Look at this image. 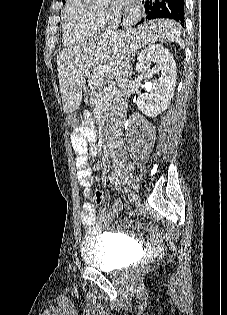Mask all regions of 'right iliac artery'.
<instances>
[{"label": "right iliac artery", "mask_w": 227, "mask_h": 315, "mask_svg": "<svg viewBox=\"0 0 227 315\" xmlns=\"http://www.w3.org/2000/svg\"><path fill=\"white\" fill-rule=\"evenodd\" d=\"M109 180L116 186L120 184V179L114 173L109 174Z\"/></svg>", "instance_id": "obj_1"}]
</instances>
